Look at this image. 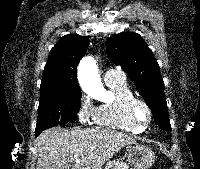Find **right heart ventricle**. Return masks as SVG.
Listing matches in <instances>:
<instances>
[{
	"instance_id": "1",
	"label": "right heart ventricle",
	"mask_w": 200,
	"mask_h": 169,
	"mask_svg": "<svg viewBox=\"0 0 200 169\" xmlns=\"http://www.w3.org/2000/svg\"><path fill=\"white\" fill-rule=\"evenodd\" d=\"M105 83L113 94V99L95 109L94 122L100 126L129 133H141L143 130L135 126L129 119L128 104L136 96L126 79L118 78L105 81Z\"/></svg>"
}]
</instances>
